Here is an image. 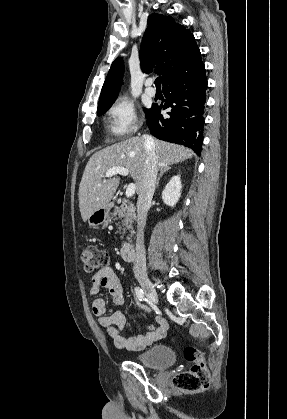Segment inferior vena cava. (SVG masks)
Masks as SVG:
<instances>
[{
	"label": "inferior vena cava",
	"mask_w": 287,
	"mask_h": 419,
	"mask_svg": "<svg viewBox=\"0 0 287 419\" xmlns=\"http://www.w3.org/2000/svg\"><path fill=\"white\" fill-rule=\"evenodd\" d=\"M146 148V159L143 172V180L138 192L137 200V240L136 256L133 271L136 277L146 276V255L144 247V228L149 206L155 191L156 177L158 172V159L154 151V139L149 135H143Z\"/></svg>",
	"instance_id": "1"
}]
</instances>
